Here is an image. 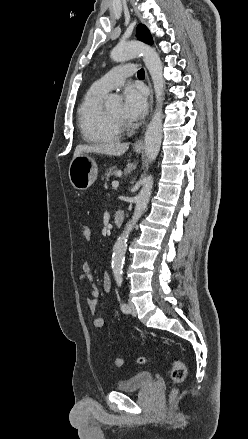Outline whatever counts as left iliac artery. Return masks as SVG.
<instances>
[{
	"label": "left iliac artery",
	"instance_id": "1",
	"mask_svg": "<svg viewBox=\"0 0 248 439\" xmlns=\"http://www.w3.org/2000/svg\"><path fill=\"white\" fill-rule=\"evenodd\" d=\"M115 277H116V281H117L118 286H121L122 282H123L122 275L121 274H117ZM120 307H121V310L124 313H128L129 312V306L126 303L122 302L120 304Z\"/></svg>",
	"mask_w": 248,
	"mask_h": 439
}]
</instances>
